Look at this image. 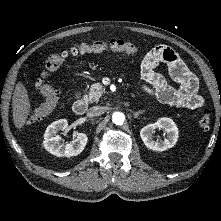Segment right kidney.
I'll return each mask as SVG.
<instances>
[{"label": "right kidney", "mask_w": 221, "mask_h": 221, "mask_svg": "<svg viewBox=\"0 0 221 221\" xmlns=\"http://www.w3.org/2000/svg\"><path fill=\"white\" fill-rule=\"evenodd\" d=\"M68 127L66 119H59L51 123L44 134V147L51 154L57 157H71L80 154L88 141V137L84 133H78L76 138L71 142L64 144L61 137L57 135L59 131H64Z\"/></svg>", "instance_id": "obj_1"}]
</instances>
